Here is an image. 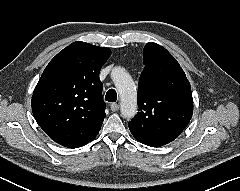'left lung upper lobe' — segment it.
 <instances>
[{
	"instance_id": "1",
	"label": "left lung upper lobe",
	"mask_w": 240,
	"mask_h": 191,
	"mask_svg": "<svg viewBox=\"0 0 240 191\" xmlns=\"http://www.w3.org/2000/svg\"><path fill=\"white\" fill-rule=\"evenodd\" d=\"M144 69L138 83L139 112L129 122L138 141L160 147L176 139L193 114L190 83L176 59L150 42L143 50Z\"/></svg>"
}]
</instances>
